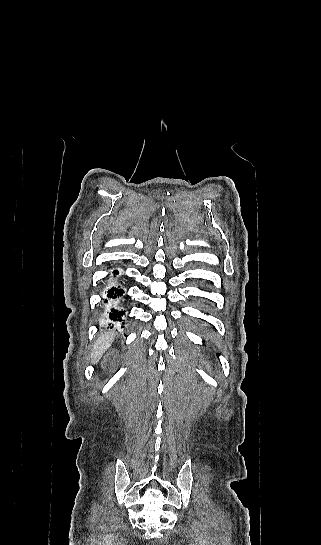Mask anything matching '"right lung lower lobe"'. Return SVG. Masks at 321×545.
<instances>
[{"label": "right lung lower lobe", "mask_w": 321, "mask_h": 545, "mask_svg": "<svg viewBox=\"0 0 321 545\" xmlns=\"http://www.w3.org/2000/svg\"><path fill=\"white\" fill-rule=\"evenodd\" d=\"M118 274V271L115 270L114 271V275ZM124 293L123 289L121 288H115V287H112L110 290H108V297L109 298H119L120 296H122ZM108 301L105 300V303H107ZM125 314L124 311H119V310H115V309H111V312L109 313V319L112 320V321H122V316Z\"/></svg>", "instance_id": "1"}]
</instances>
